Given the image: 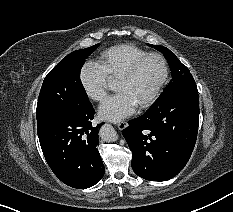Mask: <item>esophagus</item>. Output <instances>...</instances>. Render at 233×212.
Here are the masks:
<instances>
[{"mask_svg":"<svg viewBox=\"0 0 233 212\" xmlns=\"http://www.w3.org/2000/svg\"><path fill=\"white\" fill-rule=\"evenodd\" d=\"M127 126H128L127 122H119L117 124V127H118L119 130H124Z\"/></svg>","mask_w":233,"mask_h":212,"instance_id":"obj_1","label":"esophagus"}]
</instances>
